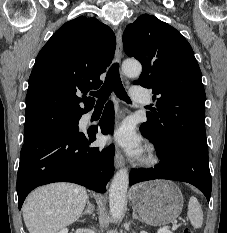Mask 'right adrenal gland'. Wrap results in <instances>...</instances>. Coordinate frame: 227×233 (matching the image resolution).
Instances as JSON below:
<instances>
[{"label": "right adrenal gland", "instance_id": "2a0ac1e0", "mask_svg": "<svg viewBox=\"0 0 227 233\" xmlns=\"http://www.w3.org/2000/svg\"><path fill=\"white\" fill-rule=\"evenodd\" d=\"M84 215L94 216V205L90 202L89 197L87 198V207L84 210V212H82L81 216H84Z\"/></svg>", "mask_w": 227, "mask_h": 233}]
</instances>
